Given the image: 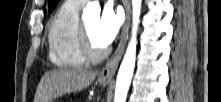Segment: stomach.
I'll return each mask as SVG.
<instances>
[{"label": "stomach", "instance_id": "stomach-1", "mask_svg": "<svg viewBox=\"0 0 221 102\" xmlns=\"http://www.w3.org/2000/svg\"><path fill=\"white\" fill-rule=\"evenodd\" d=\"M110 81L109 80H101L99 79V83L102 85V86H106Z\"/></svg>", "mask_w": 221, "mask_h": 102}]
</instances>
